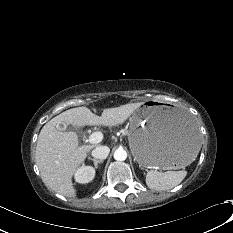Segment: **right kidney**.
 I'll use <instances>...</instances> for the list:
<instances>
[{
    "label": "right kidney",
    "instance_id": "1",
    "mask_svg": "<svg viewBox=\"0 0 233 233\" xmlns=\"http://www.w3.org/2000/svg\"><path fill=\"white\" fill-rule=\"evenodd\" d=\"M94 177H95V169L91 166L82 165L75 172V180L81 184L89 183L94 179Z\"/></svg>",
    "mask_w": 233,
    "mask_h": 233
}]
</instances>
